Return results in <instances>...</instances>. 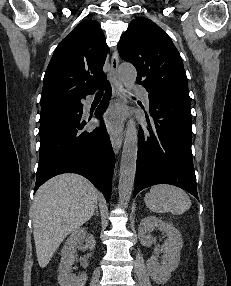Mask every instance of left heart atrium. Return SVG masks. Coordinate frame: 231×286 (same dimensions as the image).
Returning a JSON list of instances; mask_svg holds the SVG:
<instances>
[{"label": "left heart atrium", "instance_id": "1", "mask_svg": "<svg viewBox=\"0 0 231 286\" xmlns=\"http://www.w3.org/2000/svg\"><path fill=\"white\" fill-rule=\"evenodd\" d=\"M102 124L112 133L118 134L122 130L124 111L120 107L112 108L102 118Z\"/></svg>", "mask_w": 231, "mask_h": 286}]
</instances>
